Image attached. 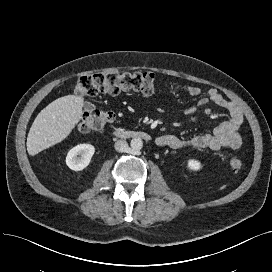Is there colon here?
<instances>
[{
	"mask_svg": "<svg viewBox=\"0 0 272 272\" xmlns=\"http://www.w3.org/2000/svg\"><path fill=\"white\" fill-rule=\"evenodd\" d=\"M154 88L155 78L150 73H98L80 77L74 86V93L78 96L92 97L134 90L150 95L154 92ZM114 119L115 114L110 110H92L83 115L78 129L82 132L99 131ZM228 164L235 172L245 167L244 161L238 156L230 157Z\"/></svg>",
	"mask_w": 272,
	"mask_h": 272,
	"instance_id": "obj_1",
	"label": "colon"
}]
</instances>
